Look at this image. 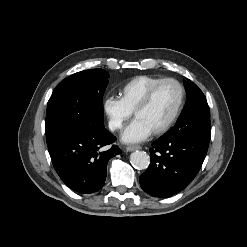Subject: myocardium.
Listing matches in <instances>:
<instances>
[{
    "mask_svg": "<svg viewBox=\"0 0 247 247\" xmlns=\"http://www.w3.org/2000/svg\"><path fill=\"white\" fill-rule=\"evenodd\" d=\"M167 83H173L178 87V89H179V102H178V105H177L173 115L170 117V119L164 125H162L160 128H158L152 132L154 135H161V134L166 133L178 120V118H179V116H180V114L184 108L185 99H186V91H185L183 84L175 78L162 79L161 81H159L158 83H156L155 85H153L149 89V91L145 94L143 99L140 101V103L136 106V108L133 111V114L136 117V115L139 112H141L142 110H144L145 108H147L149 106V104L151 103V101L154 98L157 91L164 84H167Z\"/></svg>",
    "mask_w": 247,
    "mask_h": 247,
    "instance_id": "myocardium-1",
    "label": "myocardium"
}]
</instances>
